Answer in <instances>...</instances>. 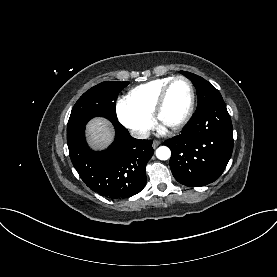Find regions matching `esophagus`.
I'll return each instance as SVG.
<instances>
[{
	"label": "esophagus",
	"instance_id": "34e87169",
	"mask_svg": "<svg viewBox=\"0 0 277 277\" xmlns=\"http://www.w3.org/2000/svg\"><path fill=\"white\" fill-rule=\"evenodd\" d=\"M161 144V142L159 140H154L152 143V147L155 149L157 148L159 145Z\"/></svg>",
	"mask_w": 277,
	"mask_h": 277
}]
</instances>
